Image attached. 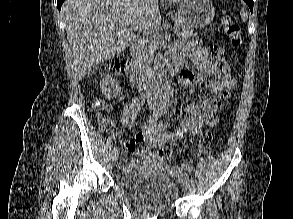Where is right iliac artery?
<instances>
[{"label":"right iliac artery","mask_w":293,"mask_h":219,"mask_svg":"<svg viewBox=\"0 0 293 219\" xmlns=\"http://www.w3.org/2000/svg\"><path fill=\"white\" fill-rule=\"evenodd\" d=\"M164 100H165V103H164L163 107L160 108L158 111L154 112V113L149 117V119H148L147 122L152 123V122L158 120L162 115H164V114L167 112V110L169 109L170 104H171L168 94H165V96H164ZM116 151H117V148L114 147V148L112 149V153H113V152H116Z\"/></svg>","instance_id":"1"}]
</instances>
